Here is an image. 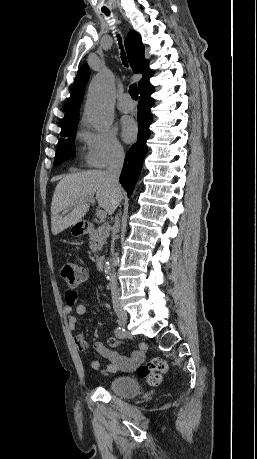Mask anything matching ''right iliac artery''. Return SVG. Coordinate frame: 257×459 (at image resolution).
<instances>
[{
	"instance_id": "1",
	"label": "right iliac artery",
	"mask_w": 257,
	"mask_h": 459,
	"mask_svg": "<svg viewBox=\"0 0 257 459\" xmlns=\"http://www.w3.org/2000/svg\"><path fill=\"white\" fill-rule=\"evenodd\" d=\"M115 335H116V337L119 338V339H124V338L126 337L125 329L122 328V327H120V326L117 327V328L115 329Z\"/></svg>"
}]
</instances>
